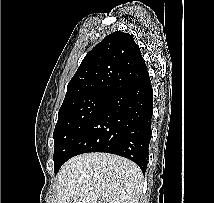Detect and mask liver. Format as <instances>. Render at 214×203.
I'll use <instances>...</instances> for the list:
<instances>
[{
  "instance_id": "obj_1",
  "label": "liver",
  "mask_w": 214,
  "mask_h": 203,
  "mask_svg": "<svg viewBox=\"0 0 214 203\" xmlns=\"http://www.w3.org/2000/svg\"><path fill=\"white\" fill-rule=\"evenodd\" d=\"M143 174L132 161L109 153L68 160L57 175V203H139Z\"/></svg>"
}]
</instances>
